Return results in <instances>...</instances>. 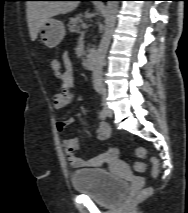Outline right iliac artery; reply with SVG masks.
Segmentation results:
<instances>
[{
    "label": "right iliac artery",
    "instance_id": "1",
    "mask_svg": "<svg viewBox=\"0 0 188 213\" xmlns=\"http://www.w3.org/2000/svg\"><path fill=\"white\" fill-rule=\"evenodd\" d=\"M100 118H101L102 120H105V119L107 118V110H106V108H103V109L101 110V112H100Z\"/></svg>",
    "mask_w": 188,
    "mask_h": 213
}]
</instances>
